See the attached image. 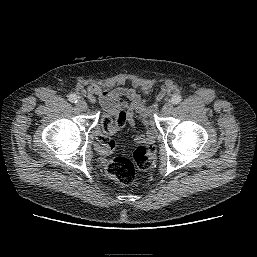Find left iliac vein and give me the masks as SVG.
Here are the masks:
<instances>
[{"instance_id": "1", "label": "left iliac vein", "mask_w": 257, "mask_h": 257, "mask_svg": "<svg viewBox=\"0 0 257 257\" xmlns=\"http://www.w3.org/2000/svg\"><path fill=\"white\" fill-rule=\"evenodd\" d=\"M173 109V103L172 102H167L166 104H164V106L162 107V113L164 115H168Z\"/></svg>"}]
</instances>
